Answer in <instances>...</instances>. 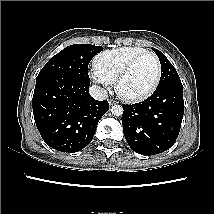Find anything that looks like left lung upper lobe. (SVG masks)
Wrapping results in <instances>:
<instances>
[{"instance_id": "left-lung-upper-lobe-1", "label": "left lung upper lobe", "mask_w": 214, "mask_h": 214, "mask_svg": "<svg viewBox=\"0 0 214 214\" xmlns=\"http://www.w3.org/2000/svg\"><path fill=\"white\" fill-rule=\"evenodd\" d=\"M152 50L159 57L162 68L161 78L158 86L167 84L172 81H180L177 71L175 70L174 66L170 63V61L165 57V55L155 48H152Z\"/></svg>"}]
</instances>
